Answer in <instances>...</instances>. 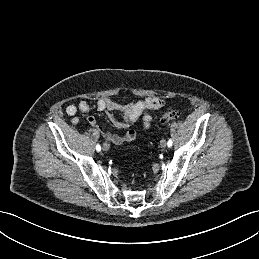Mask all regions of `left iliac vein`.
<instances>
[{"instance_id":"1","label":"left iliac vein","mask_w":259,"mask_h":259,"mask_svg":"<svg viewBox=\"0 0 259 259\" xmlns=\"http://www.w3.org/2000/svg\"><path fill=\"white\" fill-rule=\"evenodd\" d=\"M160 146H161L162 148H165V147L167 146V142H166L165 139H162V140L160 141Z\"/></svg>"}]
</instances>
